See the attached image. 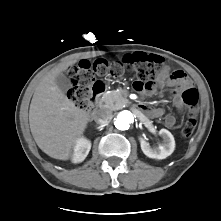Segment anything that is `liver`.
Returning a JSON list of instances; mask_svg holds the SVG:
<instances>
[{
    "label": "liver",
    "mask_w": 221,
    "mask_h": 221,
    "mask_svg": "<svg viewBox=\"0 0 221 221\" xmlns=\"http://www.w3.org/2000/svg\"><path fill=\"white\" fill-rule=\"evenodd\" d=\"M77 61L59 64L44 75L35 88L30 109L31 133L48 156L68 160L88 121L87 111L75 106L56 84L57 75Z\"/></svg>",
    "instance_id": "obj_1"
}]
</instances>
